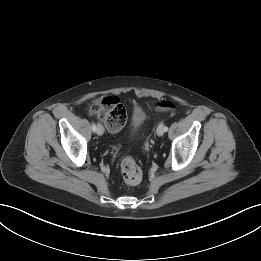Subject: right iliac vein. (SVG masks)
I'll list each match as a JSON object with an SVG mask.
<instances>
[{
    "instance_id": "63e3f726",
    "label": "right iliac vein",
    "mask_w": 261,
    "mask_h": 261,
    "mask_svg": "<svg viewBox=\"0 0 261 261\" xmlns=\"http://www.w3.org/2000/svg\"><path fill=\"white\" fill-rule=\"evenodd\" d=\"M96 132H97V134H98L99 136H101V135L104 133V128H103V126H102L101 124H98V125H97V130H96Z\"/></svg>"
}]
</instances>
